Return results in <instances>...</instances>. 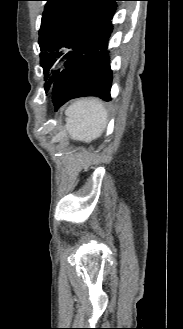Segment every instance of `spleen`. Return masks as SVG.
Segmentation results:
<instances>
[{
    "label": "spleen",
    "mask_w": 183,
    "mask_h": 329,
    "mask_svg": "<svg viewBox=\"0 0 183 329\" xmlns=\"http://www.w3.org/2000/svg\"><path fill=\"white\" fill-rule=\"evenodd\" d=\"M65 114L68 117L66 129L74 140L90 143L101 136L107 125V110L97 98L78 99Z\"/></svg>",
    "instance_id": "obj_1"
}]
</instances>
